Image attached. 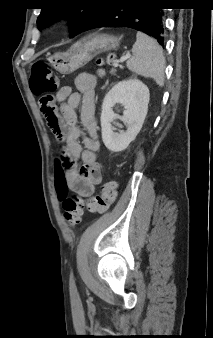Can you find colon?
<instances>
[{"label": "colon", "mask_w": 213, "mask_h": 338, "mask_svg": "<svg viewBox=\"0 0 213 338\" xmlns=\"http://www.w3.org/2000/svg\"><path fill=\"white\" fill-rule=\"evenodd\" d=\"M114 59L113 54L107 55L105 58L98 59V65L111 64ZM105 70H100L103 75ZM31 91L34 95L42 96L40 100V109L46 121L51 128L57 142L63 140L64 132L60 128L59 118L56 114L51 97L47 96L59 89V80L57 75L46 62H35L32 74L29 79ZM65 154V151H62ZM72 162L65 161L64 168L66 170L72 167ZM66 187L65 179L62 176L57 177L56 188L59 195L62 194ZM117 197V184L115 182H107L101 186L99 191L87 198L80 199L75 195L62 196V204L64 217L69 226L75 227L81 222L84 210L91 213L104 214L109 210L110 205Z\"/></svg>", "instance_id": "colon-1"}]
</instances>
